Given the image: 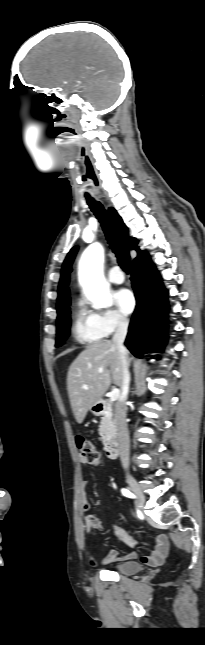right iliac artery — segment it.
Segmentation results:
<instances>
[{"mask_svg": "<svg viewBox=\"0 0 205 645\" xmlns=\"http://www.w3.org/2000/svg\"><path fill=\"white\" fill-rule=\"evenodd\" d=\"M121 491H122V494H123L124 496H126V497H129V498H136V496H135L133 493H131L129 490H127V489H125V488H124V489H122Z\"/></svg>", "mask_w": 205, "mask_h": 645, "instance_id": "obj_1", "label": "right iliac artery"}]
</instances>
